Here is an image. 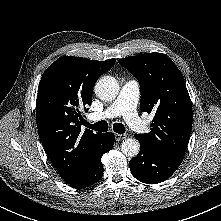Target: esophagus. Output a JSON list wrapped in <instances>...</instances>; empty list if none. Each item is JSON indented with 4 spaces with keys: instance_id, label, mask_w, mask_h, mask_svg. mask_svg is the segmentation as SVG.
I'll return each mask as SVG.
<instances>
[{
    "instance_id": "34e87169",
    "label": "esophagus",
    "mask_w": 221,
    "mask_h": 221,
    "mask_svg": "<svg viewBox=\"0 0 221 221\" xmlns=\"http://www.w3.org/2000/svg\"><path fill=\"white\" fill-rule=\"evenodd\" d=\"M127 137L126 134H118V133H115V140L116 141H122L123 139H125Z\"/></svg>"
}]
</instances>
